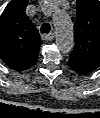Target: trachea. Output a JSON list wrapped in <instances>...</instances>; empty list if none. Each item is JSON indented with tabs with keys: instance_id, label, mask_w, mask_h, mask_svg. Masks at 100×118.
Instances as JSON below:
<instances>
[{
	"instance_id": "obj_1",
	"label": "trachea",
	"mask_w": 100,
	"mask_h": 118,
	"mask_svg": "<svg viewBox=\"0 0 100 118\" xmlns=\"http://www.w3.org/2000/svg\"><path fill=\"white\" fill-rule=\"evenodd\" d=\"M41 33H49L51 31V26L48 23H44L41 25Z\"/></svg>"
}]
</instances>
